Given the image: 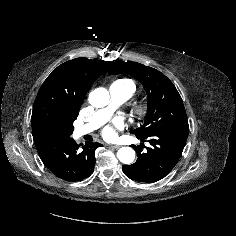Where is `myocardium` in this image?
<instances>
[{
    "instance_id": "1",
    "label": "myocardium",
    "mask_w": 236,
    "mask_h": 236,
    "mask_svg": "<svg viewBox=\"0 0 236 236\" xmlns=\"http://www.w3.org/2000/svg\"><path fill=\"white\" fill-rule=\"evenodd\" d=\"M146 113L147 107L145 105H137L132 111L133 116L137 119L143 118Z\"/></svg>"
}]
</instances>
